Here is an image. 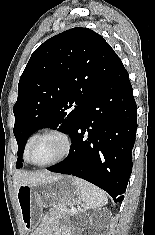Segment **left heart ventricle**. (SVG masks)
Masks as SVG:
<instances>
[{
	"label": "left heart ventricle",
	"instance_id": "1",
	"mask_svg": "<svg viewBox=\"0 0 155 235\" xmlns=\"http://www.w3.org/2000/svg\"><path fill=\"white\" fill-rule=\"evenodd\" d=\"M64 150L63 140L56 135H48L37 140L31 148L30 159L43 164L56 159Z\"/></svg>",
	"mask_w": 155,
	"mask_h": 235
}]
</instances>
